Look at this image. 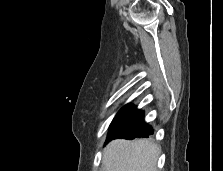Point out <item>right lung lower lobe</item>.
Wrapping results in <instances>:
<instances>
[{"instance_id": "98d812e1", "label": "right lung lower lobe", "mask_w": 223, "mask_h": 171, "mask_svg": "<svg viewBox=\"0 0 223 171\" xmlns=\"http://www.w3.org/2000/svg\"><path fill=\"white\" fill-rule=\"evenodd\" d=\"M153 134L152 128L144 121V113L132 106L109 131L107 141L116 138L134 139Z\"/></svg>"}]
</instances>
